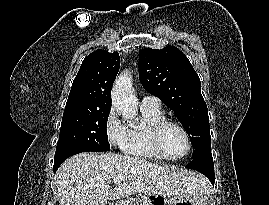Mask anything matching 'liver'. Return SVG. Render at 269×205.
I'll use <instances>...</instances> for the list:
<instances>
[{
	"label": "liver",
	"instance_id": "6515ba94",
	"mask_svg": "<svg viewBox=\"0 0 269 205\" xmlns=\"http://www.w3.org/2000/svg\"><path fill=\"white\" fill-rule=\"evenodd\" d=\"M122 178L112 190L113 179ZM60 205H106L136 192L176 196L205 192L206 180L128 155L91 152L67 159L56 173Z\"/></svg>",
	"mask_w": 269,
	"mask_h": 205
}]
</instances>
